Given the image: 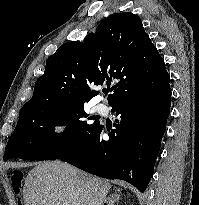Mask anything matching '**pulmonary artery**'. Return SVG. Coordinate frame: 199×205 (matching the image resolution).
<instances>
[{
    "label": "pulmonary artery",
    "mask_w": 199,
    "mask_h": 205,
    "mask_svg": "<svg viewBox=\"0 0 199 205\" xmlns=\"http://www.w3.org/2000/svg\"><path fill=\"white\" fill-rule=\"evenodd\" d=\"M95 110L98 112V113H106L107 112V106L103 103H100V104H97L95 106Z\"/></svg>",
    "instance_id": "obj_1"
}]
</instances>
